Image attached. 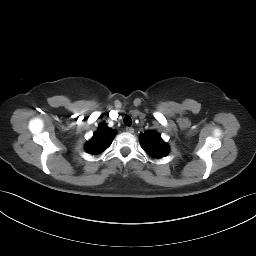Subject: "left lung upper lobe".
<instances>
[{
    "label": "left lung upper lobe",
    "instance_id": "5c2ea615",
    "mask_svg": "<svg viewBox=\"0 0 256 256\" xmlns=\"http://www.w3.org/2000/svg\"><path fill=\"white\" fill-rule=\"evenodd\" d=\"M140 142L145 152L152 157H164L169 152L168 145L163 142L160 134L156 131L151 130L141 134Z\"/></svg>",
    "mask_w": 256,
    "mask_h": 256
}]
</instances>
